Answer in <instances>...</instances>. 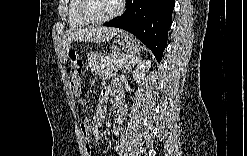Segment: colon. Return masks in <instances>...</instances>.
Returning <instances> with one entry per match:
<instances>
[{
	"label": "colon",
	"mask_w": 247,
	"mask_h": 156,
	"mask_svg": "<svg viewBox=\"0 0 247 156\" xmlns=\"http://www.w3.org/2000/svg\"><path fill=\"white\" fill-rule=\"evenodd\" d=\"M97 112H98V107H97ZM89 120L90 121L87 122V125L88 126H91L92 125V122L91 121L94 120V117L93 116H90L89 117ZM83 130H84V135L87 136L90 139L96 138L100 134V131L98 129H96V128L84 127Z\"/></svg>",
	"instance_id": "1"
}]
</instances>
